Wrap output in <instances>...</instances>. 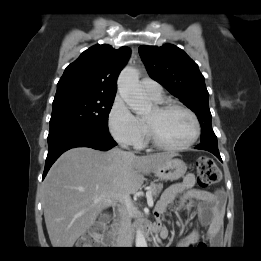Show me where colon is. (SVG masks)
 Returning <instances> with one entry per match:
<instances>
[{
	"label": "colon",
	"instance_id": "colon-1",
	"mask_svg": "<svg viewBox=\"0 0 261 261\" xmlns=\"http://www.w3.org/2000/svg\"><path fill=\"white\" fill-rule=\"evenodd\" d=\"M197 179L202 187H209L218 183L221 179V172L214 160L210 157H200L197 162ZM107 216H104L106 218ZM104 228L96 226L80 243L83 249H92L102 239Z\"/></svg>",
	"mask_w": 261,
	"mask_h": 261
}]
</instances>
